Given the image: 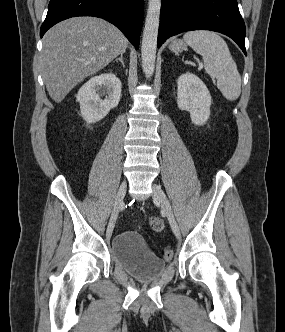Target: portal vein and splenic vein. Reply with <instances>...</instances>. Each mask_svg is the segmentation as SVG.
Segmentation results:
<instances>
[{"instance_id": "obj_1", "label": "portal vein and splenic vein", "mask_w": 285, "mask_h": 332, "mask_svg": "<svg viewBox=\"0 0 285 332\" xmlns=\"http://www.w3.org/2000/svg\"><path fill=\"white\" fill-rule=\"evenodd\" d=\"M199 66H200V67H202V66H203V64H202V63H199Z\"/></svg>"}]
</instances>
